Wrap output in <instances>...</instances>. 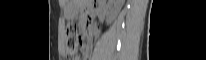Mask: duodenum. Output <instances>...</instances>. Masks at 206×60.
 Listing matches in <instances>:
<instances>
[{"instance_id": "410a0bca", "label": "duodenum", "mask_w": 206, "mask_h": 60, "mask_svg": "<svg viewBox=\"0 0 206 60\" xmlns=\"http://www.w3.org/2000/svg\"><path fill=\"white\" fill-rule=\"evenodd\" d=\"M83 29H84V30H87V29H88V26H87V25H84V26H83Z\"/></svg>"}]
</instances>
